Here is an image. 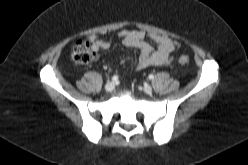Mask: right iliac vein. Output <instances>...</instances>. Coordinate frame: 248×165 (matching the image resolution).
I'll list each match as a JSON object with an SVG mask.
<instances>
[{
  "mask_svg": "<svg viewBox=\"0 0 248 165\" xmlns=\"http://www.w3.org/2000/svg\"><path fill=\"white\" fill-rule=\"evenodd\" d=\"M115 85L113 82H108L106 85H105V90L106 92L110 93L113 91Z\"/></svg>",
  "mask_w": 248,
  "mask_h": 165,
  "instance_id": "1",
  "label": "right iliac vein"
}]
</instances>
